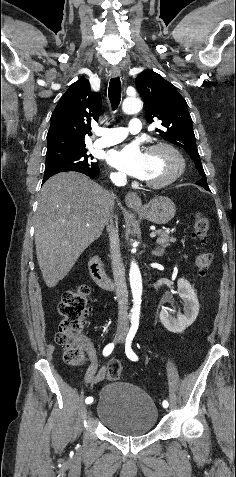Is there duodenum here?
<instances>
[{"instance_id":"410a0bca","label":"duodenum","mask_w":236,"mask_h":477,"mask_svg":"<svg viewBox=\"0 0 236 477\" xmlns=\"http://www.w3.org/2000/svg\"><path fill=\"white\" fill-rule=\"evenodd\" d=\"M89 273L92 279L102 288L113 289L115 284L106 274L98 256H93L88 264Z\"/></svg>"}]
</instances>
